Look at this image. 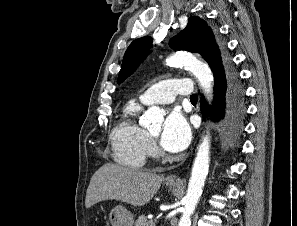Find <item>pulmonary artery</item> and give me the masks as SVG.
Masks as SVG:
<instances>
[{
	"mask_svg": "<svg viewBox=\"0 0 297 226\" xmlns=\"http://www.w3.org/2000/svg\"><path fill=\"white\" fill-rule=\"evenodd\" d=\"M193 87L190 79H167L148 87L141 95L140 100L145 105L170 104L176 95L190 97Z\"/></svg>",
	"mask_w": 297,
	"mask_h": 226,
	"instance_id": "e3ab8cb5",
	"label": "pulmonary artery"
}]
</instances>
